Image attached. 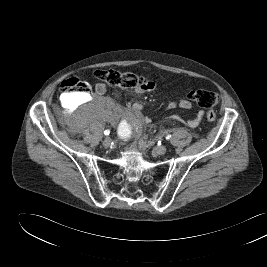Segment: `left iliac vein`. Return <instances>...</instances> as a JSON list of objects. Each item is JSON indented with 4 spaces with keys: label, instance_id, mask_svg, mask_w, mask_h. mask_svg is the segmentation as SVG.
Returning <instances> with one entry per match:
<instances>
[{
    "label": "left iliac vein",
    "instance_id": "4c4485c4",
    "mask_svg": "<svg viewBox=\"0 0 267 267\" xmlns=\"http://www.w3.org/2000/svg\"><path fill=\"white\" fill-rule=\"evenodd\" d=\"M167 151V147L164 146V145H161V146H157L154 148V153L156 155H164Z\"/></svg>",
    "mask_w": 267,
    "mask_h": 267
}]
</instances>
